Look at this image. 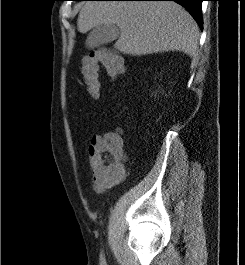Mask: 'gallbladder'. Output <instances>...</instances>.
<instances>
[{
	"mask_svg": "<svg viewBox=\"0 0 245 265\" xmlns=\"http://www.w3.org/2000/svg\"><path fill=\"white\" fill-rule=\"evenodd\" d=\"M120 30L117 25L101 24L95 26L87 37V44L89 47H99L113 42L119 37Z\"/></svg>",
	"mask_w": 245,
	"mask_h": 265,
	"instance_id": "gallbladder-1",
	"label": "gallbladder"
}]
</instances>
